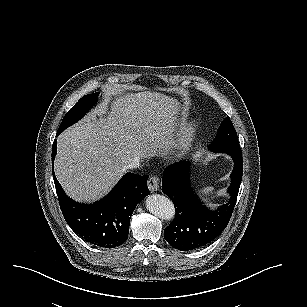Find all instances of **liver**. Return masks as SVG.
<instances>
[{"instance_id":"liver-1","label":"liver","mask_w":307,"mask_h":307,"mask_svg":"<svg viewBox=\"0 0 307 307\" xmlns=\"http://www.w3.org/2000/svg\"><path fill=\"white\" fill-rule=\"evenodd\" d=\"M181 106L157 92L107 94L57 138L54 171L66 194L78 202H95L113 188L134 158L172 154L178 121L188 116Z\"/></svg>"}]
</instances>
